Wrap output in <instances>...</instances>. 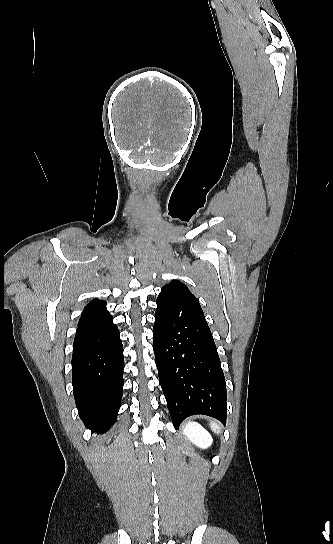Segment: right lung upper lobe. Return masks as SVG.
Wrapping results in <instances>:
<instances>
[{
  "label": "right lung upper lobe",
  "instance_id": "obj_1",
  "mask_svg": "<svg viewBox=\"0 0 333 544\" xmlns=\"http://www.w3.org/2000/svg\"><path fill=\"white\" fill-rule=\"evenodd\" d=\"M106 314H109L106 310V302L104 300L95 299L84 308L79 324L86 323Z\"/></svg>",
  "mask_w": 333,
  "mask_h": 544
}]
</instances>
